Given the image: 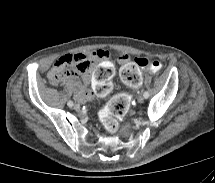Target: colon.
Segmentation results:
<instances>
[{"label":"colon","instance_id":"5ec220e1","mask_svg":"<svg viewBox=\"0 0 215 183\" xmlns=\"http://www.w3.org/2000/svg\"><path fill=\"white\" fill-rule=\"evenodd\" d=\"M141 68H148L153 72H158L162 68V64L157 60H148L146 58L137 57L127 62L120 73L122 81L128 85L131 92L136 93L140 90L141 85ZM72 67L69 64L56 62L52 69V77L59 80L69 75ZM129 108V97L125 93L115 95L100 113V121L104 129L109 133H114L118 128V119L123 116Z\"/></svg>","mask_w":215,"mask_h":183}]
</instances>
